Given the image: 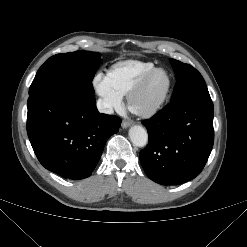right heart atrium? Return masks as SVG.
Instances as JSON below:
<instances>
[{
  "mask_svg": "<svg viewBox=\"0 0 247 247\" xmlns=\"http://www.w3.org/2000/svg\"><path fill=\"white\" fill-rule=\"evenodd\" d=\"M93 85L107 113H112L121 108L122 96L112 88L107 74H97L93 79Z\"/></svg>",
  "mask_w": 247,
  "mask_h": 247,
  "instance_id": "obj_1",
  "label": "right heart atrium"
}]
</instances>
